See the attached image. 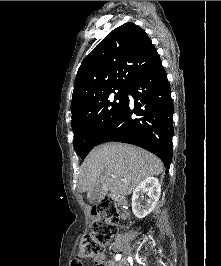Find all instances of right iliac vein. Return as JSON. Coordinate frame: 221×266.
Here are the masks:
<instances>
[{"mask_svg":"<svg viewBox=\"0 0 221 266\" xmlns=\"http://www.w3.org/2000/svg\"><path fill=\"white\" fill-rule=\"evenodd\" d=\"M130 249L129 248H126L123 252V257L122 259L120 260L119 264L117 266H124L125 263H126V258L127 256L130 254Z\"/></svg>","mask_w":221,"mask_h":266,"instance_id":"63e3f726","label":"right iliac vein"}]
</instances>
